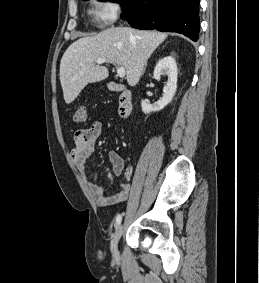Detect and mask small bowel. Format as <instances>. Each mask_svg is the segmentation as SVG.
Instances as JSON below:
<instances>
[{
  "mask_svg": "<svg viewBox=\"0 0 259 283\" xmlns=\"http://www.w3.org/2000/svg\"><path fill=\"white\" fill-rule=\"evenodd\" d=\"M101 133V121H93L90 126L77 130L73 138L74 147L71 150V158L79 172L91 179L89 187L97 205L100 207H109L123 202L128 197L132 189L130 180L133 172L130 167L124 169V161L118 152L109 151L108 159L112 165V173L114 176L122 177V180L119 192L111 196L105 194L104 187L94 180V172L87 167V161L95 152V144ZM111 177L110 175L109 178Z\"/></svg>",
  "mask_w": 259,
  "mask_h": 283,
  "instance_id": "c3829d8e",
  "label": "small bowel"
}]
</instances>
